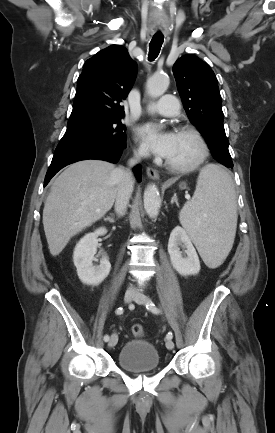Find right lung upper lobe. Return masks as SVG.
<instances>
[{"label":"right lung upper lobe","instance_id":"obj_1","mask_svg":"<svg viewBox=\"0 0 275 433\" xmlns=\"http://www.w3.org/2000/svg\"><path fill=\"white\" fill-rule=\"evenodd\" d=\"M137 66L127 50L112 45L88 59L77 82L70 118L98 115L123 117L119 102L129 93Z\"/></svg>","mask_w":275,"mask_h":433}]
</instances>
